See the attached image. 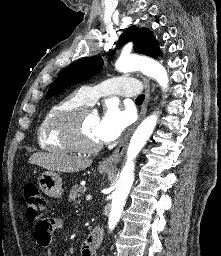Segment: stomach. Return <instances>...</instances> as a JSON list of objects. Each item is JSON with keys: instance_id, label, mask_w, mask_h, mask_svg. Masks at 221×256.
I'll use <instances>...</instances> for the list:
<instances>
[{"instance_id": "0dacf381", "label": "stomach", "mask_w": 221, "mask_h": 256, "mask_svg": "<svg viewBox=\"0 0 221 256\" xmlns=\"http://www.w3.org/2000/svg\"><path fill=\"white\" fill-rule=\"evenodd\" d=\"M109 170V168H99V172L101 173L108 172ZM39 187L41 191L49 197L59 198L63 193L62 179L57 173L53 171L44 172L39 177Z\"/></svg>"}]
</instances>
